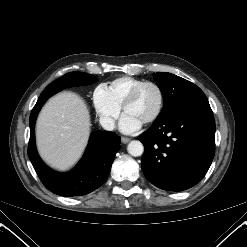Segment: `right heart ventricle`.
I'll list each match as a JSON object with an SVG mask.
<instances>
[{
    "mask_svg": "<svg viewBox=\"0 0 247 247\" xmlns=\"http://www.w3.org/2000/svg\"><path fill=\"white\" fill-rule=\"evenodd\" d=\"M144 82L132 76H122L111 81L106 87L118 106H122L129 93L140 83Z\"/></svg>",
    "mask_w": 247,
    "mask_h": 247,
    "instance_id": "1",
    "label": "right heart ventricle"
}]
</instances>
